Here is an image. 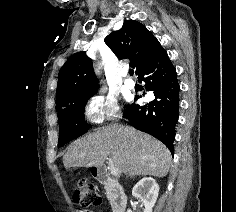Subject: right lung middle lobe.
Instances as JSON below:
<instances>
[{
    "label": "right lung middle lobe",
    "instance_id": "1",
    "mask_svg": "<svg viewBox=\"0 0 236 212\" xmlns=\"http://www.w3.org/2000/svg\"><path fill=\"white\" fill-rule=\"evenodd\" d=\"M93 96L86 95L74 100L70 105L58 111L59 140L58 147L85 134L89 125L84 121V106Z\"/></svg>",
    "mask_w": 236,
    "mask_h": 212
}]
</instances>
